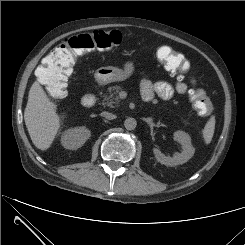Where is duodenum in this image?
<instances>
[{"label": "duodenum", "mask_w": 245, "mask_h": 245, "mask_svg": "<svg viewBox=\"0 0 245 245\" xmlns=\"http://www.w3.org/2000/svg\"><path fill=\"white\" fill-rule=\"evenodd\" d=\"M95 102H96V97L92 93L84 94L80 99L81 106L85 108L92 107Z\"/></svg>", "instance_id": "410a0bca"}]
</instances>
